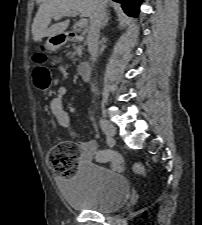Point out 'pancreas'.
Here are the masks:
<instances>
[{
	"label": "pancreas",
	"mask_w": 202,
	"mask_h": 225,
	"mask_svg": "<svg viewBox=\"0 0 202 225\" xmlns=\"http://www.w3.org/2000/svg\"><path fill=\"white\" fill-rule=\"evenodd\" d=\"M82 50H83V47L79 45V46L75 47V51L74 52H69L68 54L70 55V58H72L73 60H76L75 56L76 55L81 56L82 55Z\"/></svg>",
	"instance_id": "pancreas-1"
}]
</instances>
